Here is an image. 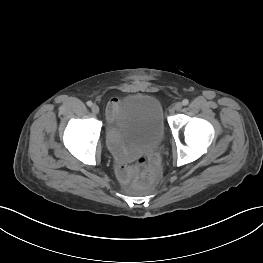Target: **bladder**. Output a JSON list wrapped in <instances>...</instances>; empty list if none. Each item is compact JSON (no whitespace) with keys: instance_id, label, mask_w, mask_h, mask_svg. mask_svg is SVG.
Here are the masks:
<instances>
[{"instance_id":"bladder-1","label":"bladder","mask_w":263,"mask_h":263,"mask_svg":"<svg viewBox=\"0 0 263 263\" xmlns=\"http://www.w3.org/2000/svg\"><path fill=\"white\" fill-rule=\"evenodd\" d=\"M115 129L129 147L148 150L159 146L165 134L160 102L142 93L125 96L119 104Z\"/></svg>"}]
</instances>
